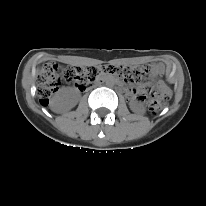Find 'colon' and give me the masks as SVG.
Here are the masks:
<instances>
[{"label":"colon","instance_id":"5ec220e1","mask_svg":"<svg viewBox=\"0 0 206 206\" xmlns=\"http://www.w3.org/2000/svg\"><path fill=\"white\" fill-rule=\"evenodd\" d=\"M102 72L119 75L130 81H137L145 78L148 70L144 67L107 66L103 68L72 66L61 71L58 65L46 63L40 68L37 75V93L40 104L43 106L48 105L50 98L57 91L62 79L66 82L75 83L80 90H85ZM148 97L150 110L158 112L163 107V100L169 98V93L165 86H161L160 92L150 88L148 89Z\"/></svg>","mask_w":206,"mask_h":206}]
</instances>
